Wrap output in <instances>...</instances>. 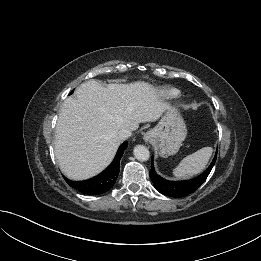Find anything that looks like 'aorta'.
<instances>
[{
  "label": "aorta",
  "mask_w": 261,
  "mask_h": 261,
  "mask_svg": "<svg viewBox=\"0 0 261 261\" xmlns=\"http://www.w3.org/2000/svg\"><path fill=\"white\" fill-rule=\"evenodd\" d=\"M133 154L135 158L140 161H147L150 157L148 148L143 145H137L133 150Z\"/></svg>",
  "instance_id": "aorta-1"
}]
</instances>
